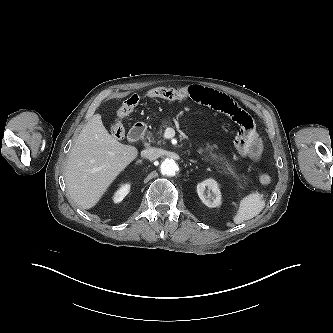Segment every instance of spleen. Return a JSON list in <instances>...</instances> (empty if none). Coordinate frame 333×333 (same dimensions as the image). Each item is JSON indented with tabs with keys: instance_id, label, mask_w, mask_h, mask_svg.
<instances>
[{
	"instance_id": "spleen-1",
	"label": "spleen",
	"mask_w": 333,
	"mask_h": 333,
	"mask_svg": "<svg viewBox=\"0 0 333 333\" xmlns=\"http://www.w3.org/2000/svg\"><path fill=\"white\" fill-rule=\"evenodd\" d=\"M265 207V201L259 193H251L244 197L239 204V209L233 218L235 224H241L257 216Z\"/></svg>"
}]
</instances>
